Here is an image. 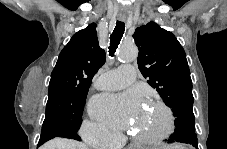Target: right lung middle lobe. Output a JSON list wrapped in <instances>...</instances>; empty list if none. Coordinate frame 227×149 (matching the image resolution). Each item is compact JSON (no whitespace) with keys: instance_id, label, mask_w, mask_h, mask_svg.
<instances>
[{"instance_id":"right-lung-middle-lobe-1","label":"right lung middle lobe","mask_w":227,"mask_h":149,"mask_svg":"<svg viewBox=\"0 0 227 149\" xmlns=\"http://www.w3.org/2000/svg\"><path fill=\"white\" fill-rule=\"evenodd\" d=\"M87 92V90L50 92L41 134L76 133L81 125Z\"/></svg>"}]
</instances>
